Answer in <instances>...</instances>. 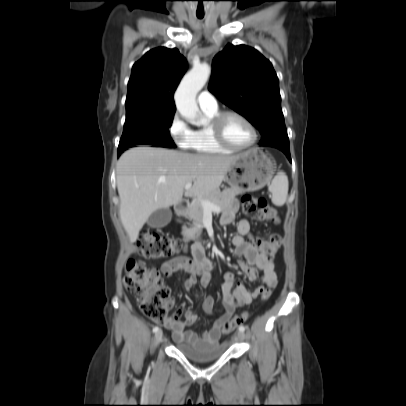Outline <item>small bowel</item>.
<instances>
[{"mask_svg": "<svg viewBox=\"0 0 406 406\" xmlns=\"http://www.w3.org/2000/svg\"><path fill=\"white\" fill-rule=\"evenodd\" d=\"M237 210L238 203L236 200H232L221 217V225H230L235 219ZM254 242L255 237L252 235L250 222L247 219H241L236 225V234L232 237L235 255L242 256L245 259L244 261H239L238 266L250 281H259L263 285L248 290L242 283H237L236 289L233 290L235 282L234 274L225 272L221 285L222 303L225 308L224 313L214 319L209 330L203 334H196L192 331H187L186 328L197 321V313L184 304L180 305L164 324L167 329L173 331L175 342L197 347L217 344L225 333L222 329L224 323L231 319L237 308L251 304L264 291V286L267 288H274L276 286L277 274L273 259L265 257L256 248ZM192 254V259L186 256H178L165 262L161 267V272L166 277H175L181 272L185 273L187 276L183 280V284L186 290H191L195 286L199 276H201L202 283L206 284L212 270V263L206 257L200 243H196L193 246ZM174 305L175 301L173 298H169L166 301L168 308H172ZM203 309L209 315L215 313V301L212 297L204 299Z\"/></svg>", "mask_w": 406, "mask_h": 406, "instance_id": "obj_1", "label": "small bowel"}]
</instances>
